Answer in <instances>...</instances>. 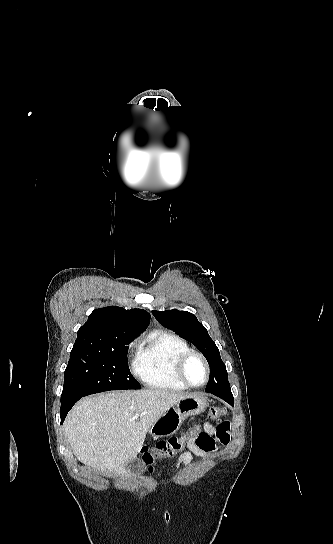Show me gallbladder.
<instances>
[{"instance_id": "obj_1", "label": "gallbladder", "mask_w": 333, "mask_h": 544, "mask_svg": "<svg viewBox=\"0 0 333 544\" xmlns=\"http://www.w3.org/2000/svg\"><path fill=\"white\" fill-rule=\"evenodd\" d=\"M127 466L132 470V471H136V472H143L144 471V465L143 463L141 462H138L134 459H131L129 460V462L127 463Z\"/></svg>"}]
</instances>
